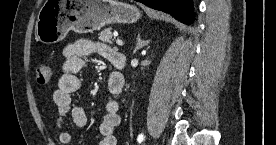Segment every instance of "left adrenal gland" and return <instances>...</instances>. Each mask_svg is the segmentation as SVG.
Returning <instances> with one entry per match:
<instances>
[{"label": "left adrenal gland", "instance_id": "1", "mask_svg": "<svg viewBox=\"0 0 276 145\" xmlns=\"http://www.w3.org/2000/svg\"><path fill=\"white\" fill-rule=\"evenodd\" d=\"M150 42V40H141L140 38V34L137 37V43H136V47L134 49V53H136V51H138L139 49H141L142 47H144L145 45H148Z\"/></svg>", "mask_w": 276, "mask_h": 145}]
</instances>
